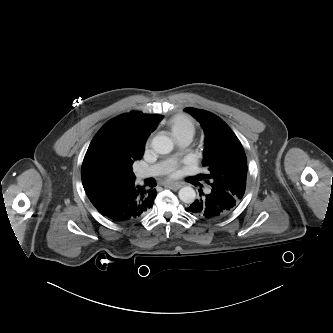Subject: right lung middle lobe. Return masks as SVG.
Segmentation results:
<instances>
[{
    "label": "right lung middle lobe",
    "mask_w": 333,
    "mask_h": 333,
    "mask_svg": "<svg viewBox=\"0 0 333 333\" xmlns=\"http://www.w3.org/2000/svg\"><path fill=\"white\" fill-rule=\"evenodd\" d=\"M138 159L141 158L123 152L107 153L100 160L86 165L82 169L83 176L106 185L132 182L135 179L132 165Z\"/></svg>",
    "instance_id": "right-lung-middle-lobe-1"
}]
</instances>
